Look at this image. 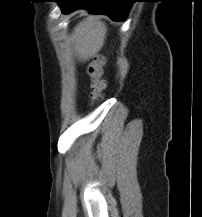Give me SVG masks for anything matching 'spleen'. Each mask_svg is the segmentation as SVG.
Wrapping results in <instances>:
<instances>
[{"label":"spleen","instance_id":"obj_1","mask_svg":"<svg viewBox=\"0 0 202 217\" xmlns=\"http://www.w3.org/2000/svg\"><path fill=\"white\" fill-rule=\"evenodd\" d=\"M106 32L105 23L99 18L80 22L72 34L75 50L82 56L96 53L103 45Z\"/></svg>","mask_w":202,"mask_h":217}]
</instances>
